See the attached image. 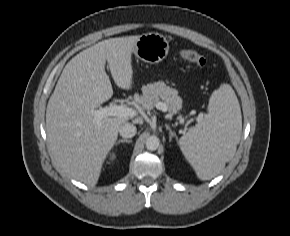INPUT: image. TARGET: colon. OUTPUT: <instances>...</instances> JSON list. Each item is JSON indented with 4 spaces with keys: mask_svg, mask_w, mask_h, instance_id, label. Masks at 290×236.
Returning a JSON list of instances; mask_svg holds the SVG:
<instances>
[{
    "mask_svg": "<svg viewBox=\"0 0 290 236\" xmlns=\"http://www.w3.org/2000/svg\"><path fill=\"white\" fill-rule=\"evenodd\" d=\"M181 57L198 67H204L206 65V59L203 55L193 49H185L181 51Z\"/></svg>",
    "mask_w": 290,
    "mask_h": 236,
    "instance_id": "obj_1",
    "label": "colon"
}]
</instances>
